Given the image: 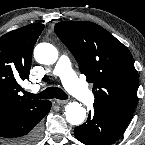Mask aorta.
Wrapping results in <instances>:
<instances>
[{
    "label": "aorta",
    "instance_id": "obj_1",
    "mask_svg": "<svg viewBox=\"0 0 145 145\" xmlns=\"http://www.w3.org/2000/svg\"><path fill=\"white\" fill-rule=\"evenodd\" d=\"M58 56V50L50 43H39L34 49L35 60L40 64H54ZM65 116L68 123L80 125L86 118V110L82 104L70 102L66 105Z\"/></svg>",
    "mask_w": 145,
    "mask_h": 145
}]
</instances>
